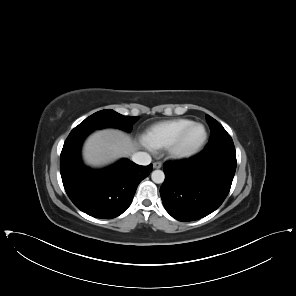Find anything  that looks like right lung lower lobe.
<instances>
[{
  "mask_svg": "<svg viewBox=\"0 0 296 296\" xmlns=\"http://www.w3.org/2000/svg\"><path fill=\"white\" fill-rule=\"evenodd\" d=\"M90 132L72 131L66 139L60 156L63 185L81 211L97 218H115L129 207L138 184L150 174L152 165L140 166L123 159L103 170L85 167L80 148Z\"/></svg>",
  "mask_w": 296,
  "mask_h": 296,
  "instance_id": "obj_1",
  "label": "right lung lower lobe"
}]
</instances>
